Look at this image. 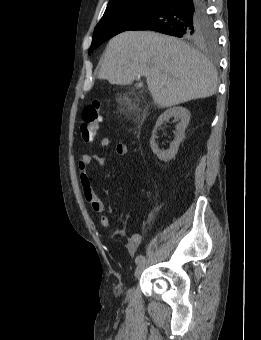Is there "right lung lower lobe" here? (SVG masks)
Returning a JSON list of instances; mask_svg holds the SVG:
<instances>
[{"mask_svg":"<svg viewBox=\"0 0 261 340\" xmlns=\"http://www.w3.org/2000/svg\"><path fill=\"white\" fill-rule=\"evenodd\" d=\"M206 14L201 0H161L158 6L129 30H153L183 37L189 25Z\"/></svg>","mask_w":261,"mask_h":340,"instance_id":"1","label":"right lung lower lobe"}]
</instances>
